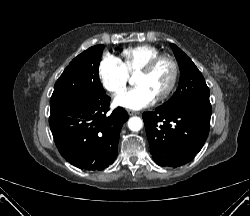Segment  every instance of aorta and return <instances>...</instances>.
<instances>
[{
  "instance_id": "1",
  "label": "aorta",
  "mask_w": 250,
  "mask_h": 216,
  "mask_svg": "<svg viewBox=\"0 0 250 216\" xmlns=\"http://www.w3.org/2000/svg\"><path fill=\"white\" fill-rule=\"evenodd\" d=\"M143 126V121L141 118L139 117H131L129 120H128V128L131 130V131H134V132H137L139 131Z\"/></svg>"
}]
</instances>
